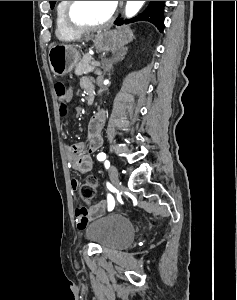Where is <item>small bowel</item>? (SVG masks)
I'll return each instance as SVG.
<instances>
[{
	"label": "small bowel",
	"mask_w": 237,
	"mask_h": 300,
	"mask_svg": "<svg viewBox=\"0 0 237 300\" xmlns=\"http://www.w3.org/2000/svg\"><path fill=\"white\" fill-rule=\"evenodd\" d=\"M82 87L86 90H92L93 84L89 78H83ZM68 100L73 99V91L68 90ZM105 123L104 111H98L90 119L87 127V140L76 142L69 147L70 163L72 167L82 173L89 172L92 168L91 155L102 145V129ZM79 182L76 179L71 181V186L77 189ZM106 202L101 201L90 207L79 206L76 208V224L78 229H84L93 216L102 212L106 208Z\"/></svg>",
	"instance_id": "small-bowel-1"
}]
</instances>
